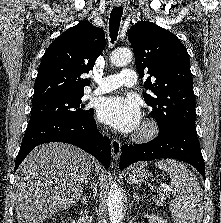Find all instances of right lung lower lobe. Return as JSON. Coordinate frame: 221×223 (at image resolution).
Returning <instances> with one entry per match:
<instances>
[{
	"instance_id": "1",
	"label": "right lung lower lobe",
	"mask_w": 221,
	"mask_h": 223,
	"mask_svg": "<svg viewBox=\"0 0 221 223\" xmlns=\"http://www.w3.org/2000/svg\"><path fill=\"white\" fill-rule=\"evenodd\" d=\"M93 115L80 120L54 117L28 124L16 158L14 172L34 147L48 142L75 145L92 154L108 168L111 159L110 140L97 130Z\"/></svg>"
}]
</instances>
